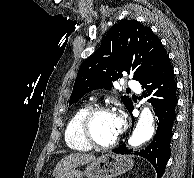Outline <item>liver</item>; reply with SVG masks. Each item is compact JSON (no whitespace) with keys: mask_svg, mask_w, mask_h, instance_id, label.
Here are the masks:
<instances>
[{"mask_svg":"<svg viewBox=\"0 0 194 178\" xmlns=\"http://www.w3.org/2000/svg\"><path fill=\"white\" fill-rule=\"evenodd\" d=\"M95 159V155L89 153H72L67 155L56 165L53 176L56 178L67 170L90 163Z\"/></svg>","mask_w":194,"mask_h":178,"instance_id":"1","label":"liver"}]
</instances>
